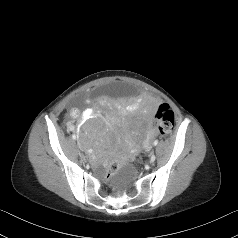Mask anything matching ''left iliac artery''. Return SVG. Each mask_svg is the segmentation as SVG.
I'll return each instance as SVG.
<instances>
[{
    "mask_svg": "<svg viewBox=\"0 0 238 238\" xmlns=\"http://www.w3.org/2000/svg\"><path fill=\"white\" fill-rule=\"evenodd\" d=\"M157 144H158V140H155V141L153 142V145L156 146Z\"/></svg>",
    "mask_w": 238,
    "mask_h": 238,
    "instance_id": "obj_1",
    "label": "left iliac artery"
}]
</instances>
